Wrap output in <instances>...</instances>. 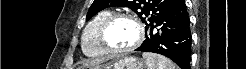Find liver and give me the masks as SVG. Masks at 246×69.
I'll return each mask as SVG.
<instances>
[{"instance_id":"liver-1","label":"liver","mask_w":246,"mask_h":69,"mask_svg":"<svg viewBox=\"0 0 246 69\" xmlns=\"http://www.w3.org/2000/svg\"><path fill=\"white\" fill-rule=\"evenodd\" d=\"M101 61H102V60H95V61H92L91 64H92V63H99V62H101Z\"/></svg>"}]
</instances>
